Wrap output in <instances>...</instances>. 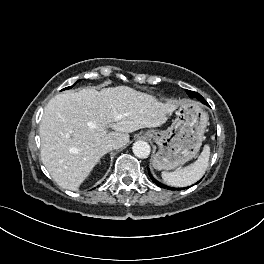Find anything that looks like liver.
<instances>
[{
    "mask_svg": "<svg viewBox=\"0 0 264 264\" xmlns=\"http://www.w3.org/2000/svg\"><path fill=\"white\" fill-rule=\"evenodd\" d=\"M177 107L176 101L162 103L126 86L58 94L39 126L42 163L59 186L77 191L107 153V141L124 147L129 133L161 126Z\"/></svg>",
    "mask_w": 264,
    "mask_h": 264,
    "instance_id": "obj_1",
    "label": "liver"
}]
</instances>
